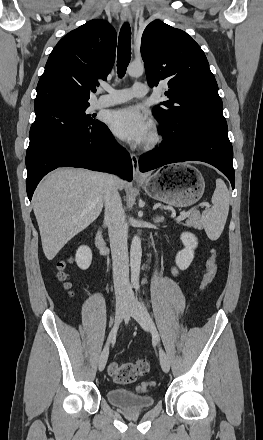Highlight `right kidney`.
Returning <instances> with one entry per match:
<instances>
[{"mask_svg":"<svg viewBox=\"0 0 263 440\" xmlns=\"http://www.w3.org/2000/svg\"><path fill=\"white\" fill-rule=\"evenodd\" d=\"M92 261V251L87 246H80L76 252V263L82 270L89 268Z\"/></svg>","mask_w":263,"mask_h":440,"instance_id":"obj_1","label":"right kidney"}]
</instances>
